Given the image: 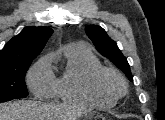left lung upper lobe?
I'll return each mask as SVG.
<instances>
[{"label":"left lung upper lobe","mask_w":165,"mask_h":120,"mask_svg":"<svg viewBox=\"0 0 165 120\" xmlns=\"http://www.w3.org/2000/svg\"><path fill=\"white\" fill-rule=\"evenodd\" d=\"M85 31L98 52L121 69L130 81H133L126 57L121 53L117 44L107 35L105 30L97 25H89L86 26Z\"/></svg>","instance_id":"5c2ea615"}]
</instances>
